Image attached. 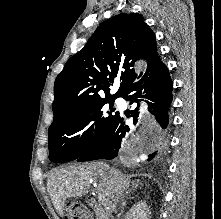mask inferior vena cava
<instances>
[{
  "label": "inferior vena cava",
  "mask_w": 221,
  "mask_h": 219,
  "mask_svg": "<svg viewBox=\"0 0 221 219\" xmlns=\"http://www.w3.org/2000/svg\"><path fill=\"white\" fill-rule=\"evenodd\" d=\"M124 202H125V200H124V198H122L121 200H120V205H119V209L121 210V212H123V208H124ZM119 215H121V213L119 214Z\"/></svg>",
  "instance_id": "inferior-vena-cava-1"
}]
</instances>
